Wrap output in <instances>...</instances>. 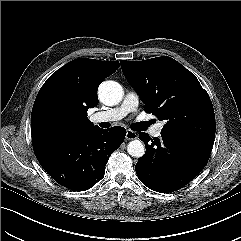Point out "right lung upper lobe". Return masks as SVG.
Wrapping results in <instances>:
<instances>
[{
	"instance_id": "1",
	"label": "right lung upper lobe",
	"mask_w": 241,
	"mask_h": 241,
	"mask_svg": "<svg viewBox=\"0 0 241 241\" xmlns=\"http://www.w3.org/2000/svg\"><path fill=\"white\" fill-rule=\"evenodd\" d=\"M118 68L117 61L79 58L53 73L33 105V148L53 145L97 128L88 120L87 110L98 103L99 84Z\"/></svg>"
}]
</instances>
